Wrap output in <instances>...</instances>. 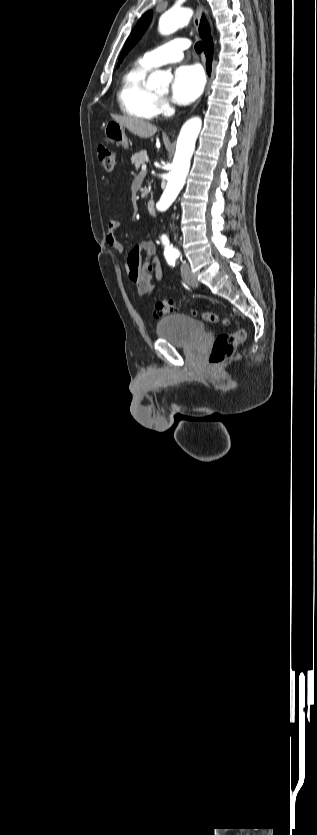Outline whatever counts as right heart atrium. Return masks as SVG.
Masks as SVG:
<instances>
[{
    "label": "right heart atrium",
    "instance_id": "1",
    "mask_svg": "<svg viewBox=\"0 0 317 835\" xmlns=\"http://www.w3.org/2000/svg\"><path fill=\"white\" fill-rule=\"evenodd\" d=\"M158 114H166L170 111V105L168 101L164 98H159L158 100Z\"/></svg>",
    "mask_w": 317,
    "mask_h": 835
}]
</instances>
